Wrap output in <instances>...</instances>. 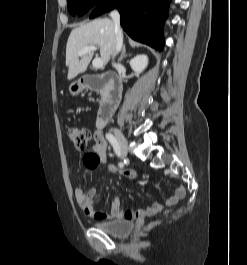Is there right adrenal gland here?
Returning <instances> with one entry per match:
<instances>
[{
	"mask_svg": "<svg viewBox=\"0 0 247 265\" xmlns=\"http://www.w3.org/2000/svg\"><path fill=\"white\" fill-rule=\"evenodd\" d=\"M128 56V54H126V48H125V45L123 46V49H122V53H121V56L119 57V59H118V62L120 63L122 60H123V58H125V57H127Z\"/></svg>",
	"mask_w": 247,
	"mask_h": 265,
	"instance_id": "right-adrenal-gland-1",
	"label": "right adrenal gland"
}]
</instances>
